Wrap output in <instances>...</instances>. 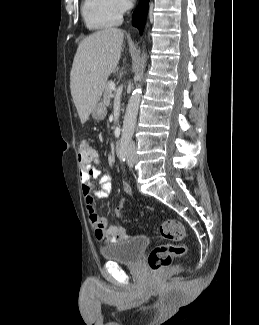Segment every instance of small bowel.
I'll use <instances>...</instances> for the list:
<instances>
[{
	"label": "small bowel",
	"mask_w": 259,
	"mask_h": 325,
	"mask_svg": "<svg viewBox=\"0 0 259 325\" xmlns=\"http://www.w3.org/2000/svg\"><path fill=\"white\" fill-rule=\"evenodd\" d=\"M101 165L102 160L96 151L90 161L80 162L82 194L96 238L104 243H118L128 238L126 229L121 226L109 225L107 219L101 217L95 207V198L107 199L112 189L111 177L108 173H101L98 168ZM93 179L99 180V188L93 187ZM122 189L125 194H131V187L128 183L123 182Z\"/></svg>",
	"instance_id": "small-bowel-1"
}]
</instances>
